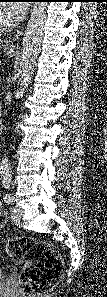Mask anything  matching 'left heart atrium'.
<instances>
[{
    "mask_svg": "<svg viewBox=\"0 0 107 297\" xmlns=\"http://www.w3.org/2000/svg\"><path fill=\"white\" fill-rule=\"evenodd\" d=\"M26 12L25 4H11L7 8L6 16L10 23L19 21Z\"/></svg>",
    "mask_w": 107,
    "mask_h": 297,
    "instance_id": "1",
    "label": "left heart atrium"
}]
</instances>
